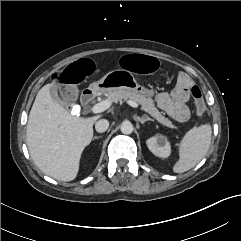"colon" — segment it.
<instances>
[{
  "instance_id": "5ec220e1",
  "label": "colon",
  "mask_w": 241,
  "mask_h": 241,
  "mask_svg": "<svg viewBox=\"0 0 241 241\" xmlns=\"http://www.w3.org/2000/svg\"><path fill=\"white\" fill-rule=\"evenodd\" d=\"M118 67L124 71H136L140 75L153 74L159 68L158 60L146 53L133 52L121 55L117 61ZM95 62L89 57H81L69 66L64 67L65 76L61 80L49 77L50 83L56 86L57 96L61 102L71 103L77 99V88L81 80L95 71ZM196 112L202 115L205 112V103L198 88L192 91Z\"/></svg>"
}]
</instances>
